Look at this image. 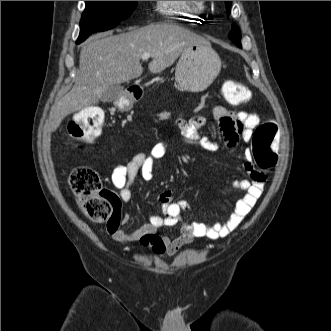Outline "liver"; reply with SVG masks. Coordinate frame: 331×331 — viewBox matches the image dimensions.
<instances>
[{"instance_id":"obj_1","label":"liver","mask_w":331,"mask_h":331,"mask_svg":"<svg viewBox=\"0 0 331 331\" xmlns=\"http://www.w3.org/2000/svg\"><path fill=\"white\" fill-rule=\"evenodd\" d=\"M207 42L172 23L150 24L118 35L91 38L82 45L72 89L51 108L49 131H56L67 115L97 104L111 85L140 77L144 53L154 55L148 68L156 74L170 67L189 46Z\"/></svg>"}]
</instances>
